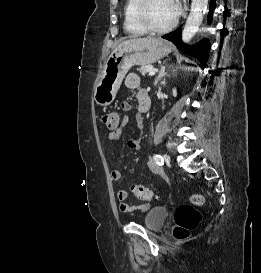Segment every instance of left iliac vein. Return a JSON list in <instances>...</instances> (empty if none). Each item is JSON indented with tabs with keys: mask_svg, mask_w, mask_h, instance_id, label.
Listing matches in <instances>:
<instances>
[{
	"mask_svg": "<svg viewBox=\"0 0 261 273\" xmlns=\"http://www.w3.org/2000/svg\"><path fill=\"white\" fill-rule=\"evenodd\" d=\"M163 159H164V161L167 162V163L170 162V156L167 155V154H164V155H163Z\"/></svg>",
	"mask_w": 261,
	"mask_h": 273,
	"instance_id": "obj_1",
	"label": "left iliac vein"
}]
</instances>
